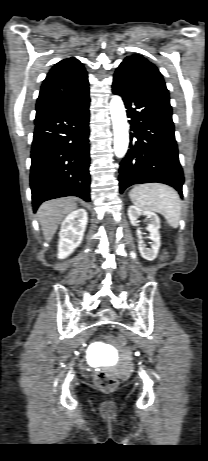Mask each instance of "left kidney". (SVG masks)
<instances>
[{"label":"left kidney","mask_w":208,"mask_h":461,"mask_svg":"<svg viewBox=\"0 0 208 461\" xmlns=\"http://www.w3.org/2000/svg\"><path fill=\"white\" fill-rule=\"evenodd\" d=\"M141 215L146 216L150 224H148L147 230L150 233V240L151 242V248H146V245L144 244V241L142 240L141 232L140 230H137V236L139 239V252L141 256L146 259V260H154L157 257L159 248H160V234H159V228H160V219L155 214L154 212L148 211V210H142L136 206H130L128 208V216L130 219V222L133 226H137L139 223V217Z\"/></svg>","instance_id":"left-kidney-1"}]
</instances>
